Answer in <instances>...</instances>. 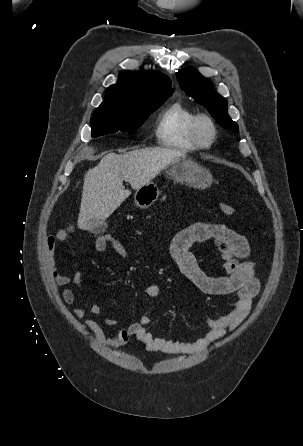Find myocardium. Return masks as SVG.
<instances>
[{"instance_id":"1","label":"myocardium","mask_w":303,"mask_h":446,"mask_svg":"<svg viewBox=\"0 0 303 446\" xmlns=\"http://www.w3.org/2000/svg\"><path fill=\"white\" fill-rule=\"evenodd\" d=\"M205 124L210 129V138L205 141L200 133V127ZM190 135L192 140L199 148H210L216 141L218 136V130L214 120L207 114L200 113L196 114L190 124Z\"/></svg>"}]
</instances>
